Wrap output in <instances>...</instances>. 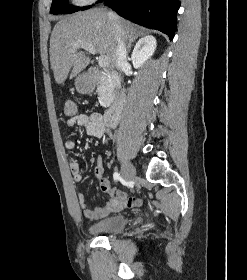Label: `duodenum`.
<instances>
[{
    "label": "duodenum",
    "mask_w": 247,
    "mask_h": 280,
    "mask_svg": "<svg viewBox=\"0 0 247 280\" xmlns=\"http://www.w3.org/2000/svg\"><path fill=\"white\" fill-rule=\"evenodd\" d=\"M101 77V72L96 68H90L86 74V84L88 89H93L97 84L99 78ZM110 77L113 80H117L118 76L115 73H111ZM124 105V94L121 92L115 100L111 103L109 108L104 114V120L107 126H115L120 118Z\"/></svg>",
    "instance_id": "1"
}]
</instances>
